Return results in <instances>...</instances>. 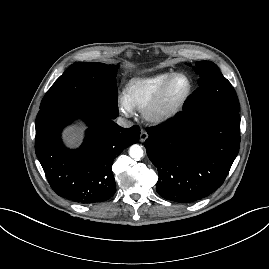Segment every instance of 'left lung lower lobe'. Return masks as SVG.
Listing matches in <instances>:
<instances>
[{
  "label": "left lung lower lobe",
  "instance_id": "1",
  "mask_svg": "<svg viewBox=\"0 0 269 269\" xmlns=\"http://www.w3.org/2000/svg\"><path fill=\"white\" fill-rule=\"evenodd\" d=\"M147 133L144 145L158 169V194L174 202H194L217 190L229 173L239 151V111L180 112Z\"/></svg>",
  "mask_w": 269,
  "mask_h": 269
}]
</instances>
